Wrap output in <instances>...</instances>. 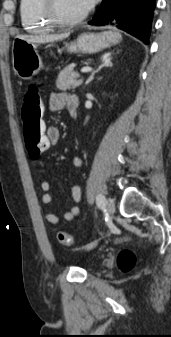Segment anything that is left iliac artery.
Here are the masks:
<instances>
[{
	"label": "left iliac artery",
	"mask_w": 171,
	"mask_h": 337,
	"mask_svg": "<svg viewBox=\"0 0 171 337\" xmlns=\"http://www.w3.org/2000/svg\"><path fill=\"white\" fill-rule=\"evenodd\" d=\"M96 203L98 207H104L105 206V197L102 194H99L96 197Z\"/></svg>",
	"instance_id": "44dca946"
}]
</instances>
